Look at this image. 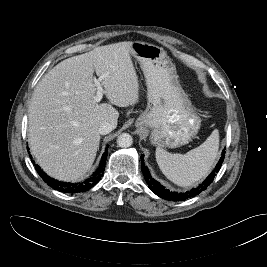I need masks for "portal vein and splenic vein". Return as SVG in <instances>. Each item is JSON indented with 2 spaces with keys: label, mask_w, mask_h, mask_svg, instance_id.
Returning <instances> with one entry per match:
<instances>
[{
  "label": "portal vein and splenic vein",
  "mask_w": 267,
  "mask_h": 267,
  "mask_svg": "<svg viewBox=\"0 0 267 267\" xmlns=\"http://www.w3.org/2000/svg\"><path fill=\"white\" fill-rule=\"evenodd\" d=\"M94 83H95V86L97 87V94L94 97V101L98 103L103 98L104 89H103V87L101 85V79L100 78L99 79H94Z\"/></svg>",
  "instance_id": "portal-vein-and-splenic-vein-1"
}]
</instances>
